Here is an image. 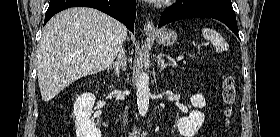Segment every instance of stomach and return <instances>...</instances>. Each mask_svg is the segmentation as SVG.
Here are the masks:
<instances>
[{
  "mask_svg": "<svg viewBox=\"0 0 280 137\" xmlns=\"http://www.w3.org/2000/svg\"><path fill=\"white\" fill-rule=\"evenodd\" d=\"M154 37L159 45L164 47L172 46L177 41V33L169 28H162L154 34H149Z\"/></svg>",
  "mask_w": 280,
  "mask_h": 137,
  "instance_id": "1",
  "label": "stomach"
}]
</instances>
